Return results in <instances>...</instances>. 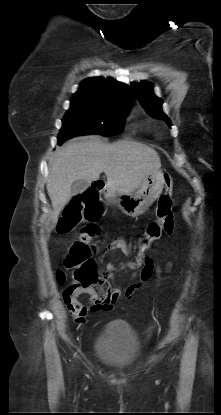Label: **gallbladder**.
<instances>
[{"mask_svg":"<svg viewBox=\"0 0 221 415\" xmlns=\"http://www.w3.org/2000/svg\"><path fill=\"white\" fill-rule=\"evenodd\" d=\"M90 186V181L86 179H78L73 182L71 190L74 194H80L84 192Z\"/></svg>","mask_w":221,"mask_h":415,"instance_id":"obj_1","label":"gallbladder"}]
</instances>
